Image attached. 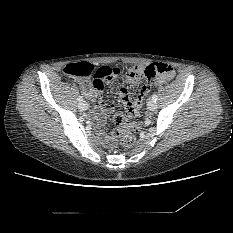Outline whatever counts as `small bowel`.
<instances>
[{
    "mask_svg": "<svg viewBox=\"0 0 233 233\" xmlns=\"http://www.w3.org/2000/svg\"><path fill=\"white\" fill-rule=\"evenodd\" d=\"M115 68L116 67H113V71L110 74L104 76V78H102L99 81H93L91 83L90 80L87 78L77 79V82L80 85L82 91L85 93V95L95 100L96 104L94 107V112L98 116V118H103L105 115H109L114 111V106L103 99L102 92L105 83L111 81L112 77L116 75ZM166 80V76H159L155 81V85H163L166 82ZM126 82L131 85H135L138 82V80L135 78L127 77ZM91 86L94 88V91L91 90ZM148 90L149 86L144 85L138 93L135 101L132 103L129 101V89L126 86H122L119 89V96L122 100L123 105L126 106L127 104H131L139 109L142 104L143 98L147 94ZM98 134L101 141L108 142L110 140V137L106 132L100 130Z\"/></svg>",
    "mask_w": 233,
    "mask_h": 233,
    "instance_id": "obj_1",
    "label": "small bowel"
}]
</instances>
